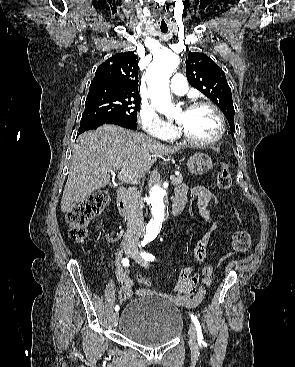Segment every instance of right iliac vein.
<instances>
[{"label": "right iliac vein", "instance_id": "right-iliac-vein-1", "mask_svg": "<svg viewBox=\"0 0 295 367\" xmlns=\"http://www.w3.org/2000/svg\"><path fill=\"white\" fill-rule=\"evenodd\" d=\"M133 253V250L131 248H126L125 249V254L130 257ZM118 318H119V313L116 311L113 313L112 315V323H113V326L116 327L117 324H118Z\"/></svg>", "mask_w": 295, "mask_h": 367}]
</instances>
